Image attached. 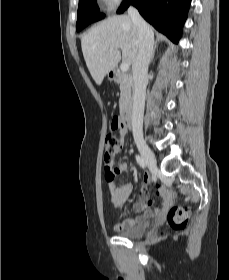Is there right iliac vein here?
I'll use <instances>...</instances> for the list:
<instances>
[{
    "mask_svg": "<svg viewBox=\"0 0 229 280\" xmlns=\"http://www.w3.org/2000/svg\"><path fill=\"white\" fill-rule=\"evenodd\" d=\"M136 145L150 170L155 172L157 170L156 160L151 149L145 144L143 140H137Z\"/></svg>",
    "mask_w": 229,
    "mask_h": 280,
    "instance_id": "right-iliac-vein-1",
    "label": "right iliac vein"
}]
</instances>
